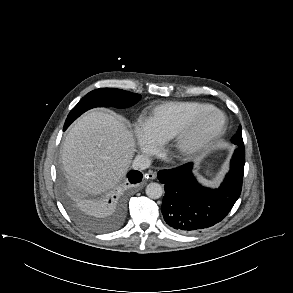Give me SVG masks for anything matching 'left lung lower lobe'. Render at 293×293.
I'll return each mask as SVG.
<instances>
[{
	"instance_id": "obj_1",
	"label": "left lung lower lobe",
	"mask_w": 293,
	"mask_h": 293,
	"mask_svg": "<svg viewBox=\"0 0 293 293\" xmlns=\"http://www.w3.org/2000/svg\"><path fill=\"white\" fill-rule=\"evenodd\" d=\"M245 148L234 153L230 170L218 189L202 186L192 173L193 163L161 170L158 179L165 187L161 211L166 223L180 233H195L223 220L240 196Z\"/></svg>"
}]
</instances>
